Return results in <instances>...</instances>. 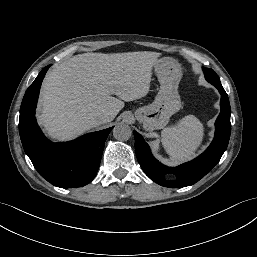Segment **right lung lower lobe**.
I'll list each match as a JSON object with an SVG mask.
<instances>
[{
    "label": "right lung lower lobe",
    "instance_id": "1",
    "mask_svg": "<svg viewBox=\"0 0 257 257\" xmlns=\"http://www.w3.org/2000/svg\"><path fill=\"white\" fill-rule=\"evenodd\" d=\"M46 66L28 87L20 108L19 132L23 148L39 174L54 186L81 187L93 180L108 134L113 127L86 134L74 141L52 143L37 125L35 108Z\"/></svg>",
    "mask_w": 257,
    "mask_h": 257
}]
</instances>
